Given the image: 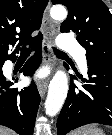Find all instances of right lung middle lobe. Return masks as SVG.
<instances>
[{
	"label": "right lung middle lobe",
	"mask_w": 112,
	"mask_h": 135,
	"mask_svg": "<svg viewBox=\"0 0 112 135\" xmlns=\"http://www.w3.org/2000/svg\"><path fill=\"white\" fill-rule=\"evenodd\" d=\"M3 63H0V67L2 66Z\"/></svg>",
	"instance_id": "dd1d6c3e"
}]
</instances>
